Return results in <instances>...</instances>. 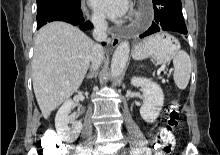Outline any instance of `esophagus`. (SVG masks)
Instances as JSON below:
<instances>
[{
    "label": "esophagus",
    "mask_w": 220,
    "mask_h": 155,
    "mask_svg": "<svg viewBox=\"0 0 220 155\" xmlns=\"http://www.w3.org/2000/svg\"><path fill=\"white\" fill-rule=\"evenodd\" d=\"M109 42H110L111 46L113 48H115V47H117L119 45L120 38L118 36H116V35H112L110 40H109Z\"/></svg>",
    "instance_id": "obj_1"
}]
</instances>
